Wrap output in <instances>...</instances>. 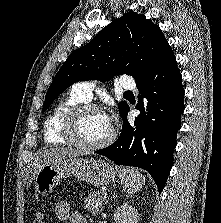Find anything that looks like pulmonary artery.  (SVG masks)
<instances>
[{"label": "pulmonary artery", "instance_id": "1", "mask_svg": "<svg viewBox=\"0 0 221 223\" xmlns=\"http://www.w3.org/2000/svg\"><path fill=\"white\" fill-rule=\"evenodd\" d=\"M119 84L124 89H133L135 87V81L129 77H122ZM95 85L93 81H80L73 85L72 90L88 101L92 97V90Z\"/></svg>", "mask_w": 221, "mask_h": 223}]
</instances>
